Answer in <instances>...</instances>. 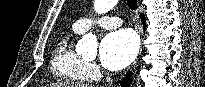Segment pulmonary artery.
<instances>
[{"label": "pulmonary artery", "mask_w": 205, "mask_h": 87, "mask_svg": "<svg viewBox=\"0 0 205 87\" xmlns=\"http://www.w3.org/2000/svg\"><path fill=\"white\" fill-rule=\"evenodd\" d=\"M122 25V19L115 16L84 17L77 20L73 27L83 33L93 26H101L107 29L116 28Z\"/></svg>", "instance_id": "obj_1"}]
</instances>
